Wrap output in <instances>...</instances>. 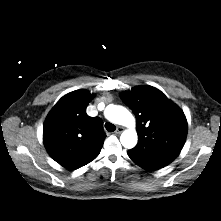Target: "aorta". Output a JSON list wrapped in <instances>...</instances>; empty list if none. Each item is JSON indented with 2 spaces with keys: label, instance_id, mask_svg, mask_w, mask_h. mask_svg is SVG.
<instances>
[{
  "label": "aorta",
  "instance_id": "762f6f07",
  "mask_svg": "<svg viewBox=\"0 0 221 221\" xmlns=\"http://www.w3.org/2000/svg\"><path fill=\"white\" fill-rule=\"evenodd\" d=\"M104 115L110 122L129 128L121 134L120 142L127 149L135 147L138 136L135 130V119L130 111L123 106L110 104L106 107Z\"/></svg>",
  "mask_w": 221,
  "mask_h": 221
}]
</instances>
